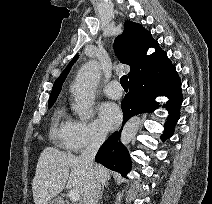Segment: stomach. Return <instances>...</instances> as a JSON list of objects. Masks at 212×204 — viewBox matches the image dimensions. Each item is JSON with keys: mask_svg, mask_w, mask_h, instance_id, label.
Wrapping results in <instances>:
<instances>
[{"mask_svg": "<svg viewBox=\"0 0 212 204\" xmlns=\"http://www.w3.org/2000/svg\"><path fill=\"white\" fill-rule=\"evenodd\" d=\"M47 204H60L57 199L50 200Z\"/></svg>", "mask_w": 212, "mask_h": 204, "instance_id": "1", "label": "stomach"}]
</instances>
